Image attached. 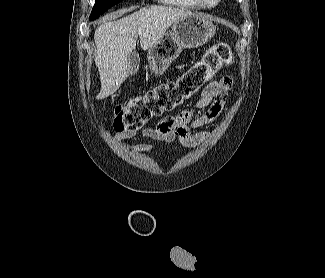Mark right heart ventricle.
<instances>
[{
	"mask_svg": "<svg viewBox=\"0 0 325 278\" xmlns=\"http://www.w3.org/2000/svg\"><path fill=\"white\" fill-rule=\"evenodd\" d=\"M164 4L177 6L181 8L200 10L206 8L201 0H158Z\"/></svg>",
	"mask_w": 325,
	"mask_h": 278,
	"instance_id": "e07e8e85",
	"label": "right heart ventricle"
}]
</instances>
